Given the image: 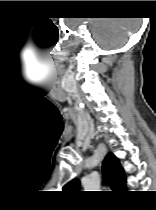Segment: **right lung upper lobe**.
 I'll return each mask as SVG.
<instances>
[{"label":"right lung upper lobe","mask_w":156,"mask_h":210,"mask_svg":"<svg viewBox=\"0 0 156 210\" xmlns=\"http://www.w3.org/2000/svg\"><path fill=\"white\" fill-rule=\"evenodd\" d=\"M104 181L113 190H125L126 185L123 183L126 179L124 170L120 166L118 158L113 153H108L102 164ZM67 188L80 189V181L78 178L73 179L67 185Z\"/></svg>","instance_id":"obj_1"}]
</instances>
